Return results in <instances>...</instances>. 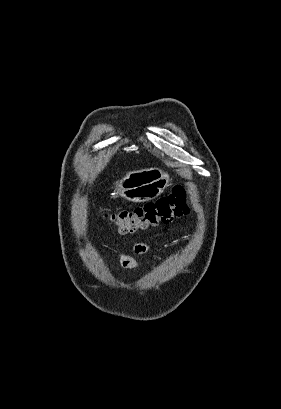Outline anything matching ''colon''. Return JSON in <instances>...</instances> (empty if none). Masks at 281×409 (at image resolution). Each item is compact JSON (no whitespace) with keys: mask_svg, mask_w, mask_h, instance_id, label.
Segmentation results:
<instances>
[{"mask_svg":"<svg viewBox=\"0 0 281 409\" xmlns=\"http://www.w3.org/2000/svg\"><path fill=\"white\" fill-rule=\"evenodd\" d=\"M186 211L185 189L178 186L169 196L134 208L111 211L107 213V217L114 222L120 233L126 234L170 222Z\"/></svg>","mask_w":281,"mask_h":409,"instance_id":"colon-1","label":"colon"}]
</instances>
